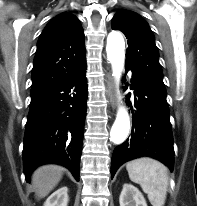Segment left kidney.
Masks as SVG:
<instances>
[{"label":"left kidney","mask_w":197,"mask_h":206,"mask_svg":"<svg viewBox=\"0 0 197 206\" xmlns=\"http://www.w3.org/2000/svg\"><path fill=\"white\" fill-rule=\"evenodd\" d=\"M120 206H147L142 193L133 185L125 183L119 198Z\"/></svg>","instance_id":"left-kidney-1"}]
</instances>
